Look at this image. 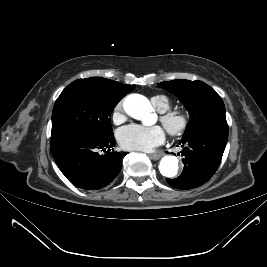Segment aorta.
<instances>
[{
  "instance_id": "aorta-1",
  "label": "aorta",
  "mask_w": 267,
  "mask_h": 267,
  "mask_svg": "<svg viewBox=\"0 0 267 267\" xmlns=\"http://www.w3.org/2000/svg\"><path fill=\"white\" fill-rule=\"evenodd\" d=\"M123 109L130 117L146 123L152 112L150 101L143 95L130 94L123 100ZM178 159L173 156H164L159 164L160 173L168 178H172L178 173Z\"/></svg>"
}]
</instances>
